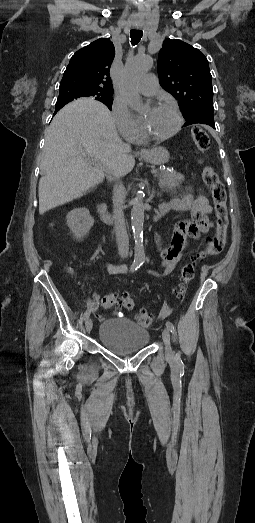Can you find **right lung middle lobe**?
Here are the masks:
<instances>
[{"instance_id": "right-lung-middle-lobe-1", "label": "right lung middle lobe", "mask_w": 255, "mask_h": 523, "mask_svg": "<svg viewBox=\"0 0 255 523\" xmlns=\"http://www.w3.org/2000/svg\"><path fill=\"white\" fill-rule=\"evenodd\" d=\"M94 97L96 100L104 103L109 109L112 107L113 98L112 95H103V94H91V93H82L77 91H60L58 100L59 102H71L74 99L80 97Z\"/></svg>"}]
</instances>
